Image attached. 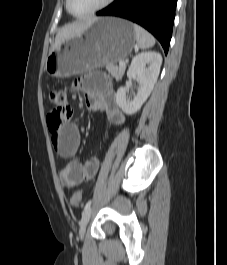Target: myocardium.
<instances>
[{"mask_svg":"<svg viewBox=\"0 0 227 265\" xmlns=\"http://www.w3.org/2000/svg\"><path fill=\"white\" fill-rule=\"evenodd\" d=\"M114 0H104L100 5H98L97 7H95L94 9L90 10L89 12L83 13V14H76L71 10L70 7V0H66V9L67 11L74 17L76 18H83V17H87L90 15H93L103 9H105L106 7H108Z\"/></svg>","mask_w":227,"mask_h":265,"instance_id":"obj_1","label":"myocardium"}]
</instances>
